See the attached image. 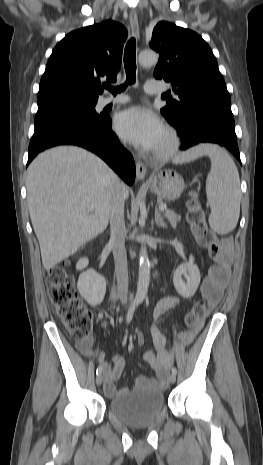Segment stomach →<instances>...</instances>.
Here are the masks:
<instances>
[{"mask_svg": "<svg viewBox=\"0 0 263 465\" xmlns=\"http://www.w3.org/2000/svg\"><path fill=\"white\" fill-rule=\"evenodd\" d=\"M185 187L183 178L175 171L165 170L153 173L149 185L151 192L167 201L178 199Z\"/></svg>", "mask_w": 263, "mask_h": 465, "instance_id": "0dacf381", "label": "stomach"}]
</instances>
